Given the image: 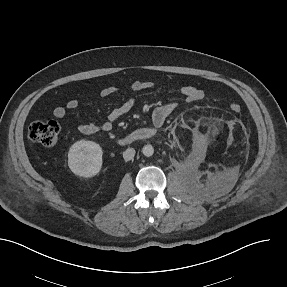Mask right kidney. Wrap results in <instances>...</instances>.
<instances>
[{
    "label": "right kidney",
    "instance_id": "ca27d5eb",
    "mask_svg": "<svg viewBox=\"0 0 287 287\" xmlns=\"http://www.w3.org/2000/svg\"><path fill=\"white\" fill-rule=\"evenodd\" d=\"M102 155V148L99 144L80 140L69 149L68 166L75 175L91 178L101 170Z\"/></svg>",
    "mask_w": 287,
    "mask_h": 287
}]
</instances>
